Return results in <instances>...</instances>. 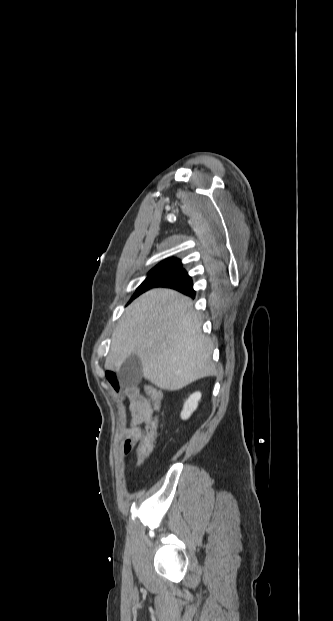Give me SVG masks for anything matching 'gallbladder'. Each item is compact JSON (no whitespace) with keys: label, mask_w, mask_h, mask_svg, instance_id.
<instances>
[{"label":"gallbladder","mask_w":333,"mask_h":621,"mask_svg":"<svg viewBox=\"0 0 333 621\" xmlns=\"http://www.w3.org/2000/svg\"><path fill=\"white\" fill-rule=\"evenodd\" d=\"M143 377L142 363L138 356L130 355L117 372L118 381L126 386H136Z\"/></svg>","instance_id":"bac80fb5"}]
</instances>
